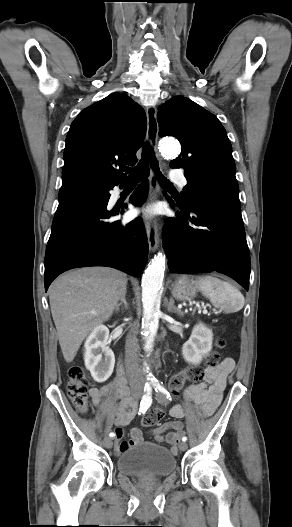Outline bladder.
Here are the masks:
<instances>
[{"label": "bladder", "instance_id": "obj_1", "mask_svg": "<svg viewBox=\"0 0 292 527\" xmlns=\"http://www.w3.org/2000/svg\"><path fill=\"white\" fill-rule=\"evenodd\" d=\"M117 470L127 476L141 479L162 478L176 469V458L165 446L142 442L120 453Z\"/></svg>", "mask_w": 292, "mask_h": 527}]
</instances>
